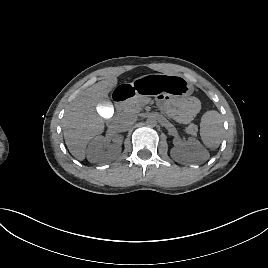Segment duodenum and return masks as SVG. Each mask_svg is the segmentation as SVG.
<instances>
[{
  "mask_svg": "<svg viewBox=\"0 0 268 268\" xmlns=\"http://www.w3.org/2000/svg\"><path fill=\"white\" fill-rule=\"evenodd\" d=\"M131 89H119L113 95L114 103L119 107L126 99L132 96Z\"/></svg>",
  "mask_w": 268,
  "mask_h": 268,
  "instance_id": "obj_1",
  "label": "duodenum"
}]
</instances>
